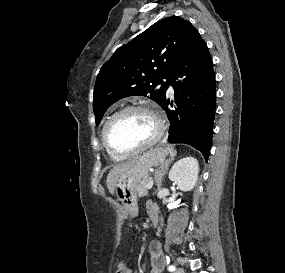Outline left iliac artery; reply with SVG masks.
<instances>
[{"instance_id": "left-iliac-artery-1", "label": "left iliac artery", "mask_w": 285, "mask_h": 273, "mask_svg": "<svg viewBox=\"0 0 285 273\" xmlns=\"http://www.w3.org/2000/svg\"><path fill=\"white\" fill-rule=\"evenodd\" d=\"M175 266L174 265H170L169 267H168V270L170 271V272H173V271H175Z\"/></svg>"}]
</instances>
